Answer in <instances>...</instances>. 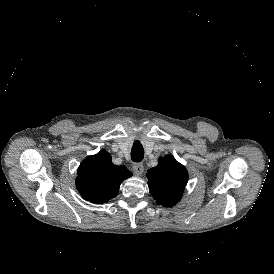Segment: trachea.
<instances>
[{
	"instance_id": "3493384b",
	"label": "trachea",
	"mask_w": 274,
	"mask_h": 274,
	"mask_svg": "<svg viewBox=\"0 0 274 274\" xmlns=\"http://www.w3.org/2000/svg\"><path fill=\"white\" fill-rule=\"evenodd\" d=\"M144 158V149L140 141H134L131 149V159L134 162H141Z\"/></svg>"
}]
</instances>
